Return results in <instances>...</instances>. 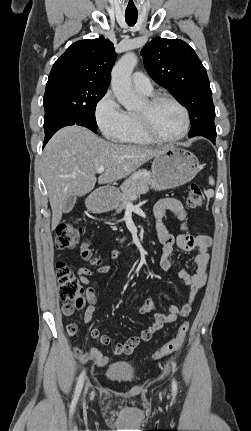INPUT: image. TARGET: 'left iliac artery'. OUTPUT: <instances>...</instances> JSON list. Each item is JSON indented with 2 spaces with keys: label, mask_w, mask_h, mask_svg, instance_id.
<instances>
[{
  "label": "left iliac artery",
  "mask_w": 251,
  "mask_h": 431,
  "mask_svg": "<svg viewBox=\"0 0 251 431\" xmlns=\"http://www.w3.org/2000/svg\"><path fill=\"white\" fill-rule=\"evenodd\" d=\"M172 390L173 393H177V382L175 381V379L172 380Z\"/></svg>",
  "instance_id": "1"
}]
</instances>
